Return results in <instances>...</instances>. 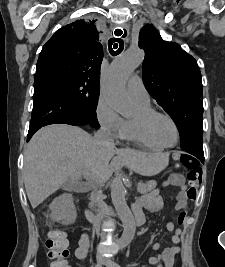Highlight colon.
Listing matches in <instances>:
<instances>
[{
	"label": "colon",
	"instance_id": "obj_1",
	"mask_svg": "<svg viewBox=\"0 0 225 267\" xmlns=\"http://www.w3.org/2000/svg\"><path fill=\"white\" fill-rule=\"evenodd\" d=\"M173 159L182 165L188 171L189 187L187 190V197L194 201L198 195V188L203 180V170L200 162L192 155L186 153H174ZM187 216L186 210L180 211L178 215V224L182 225ZM48 249V257L52 260L51 267H69L67 264L68 241L65 233L60 229H53L48 233V238L45 242Z\"/></svg>",
	"mask_w": 225,
	"mask_h": 267
}]
</instances>
